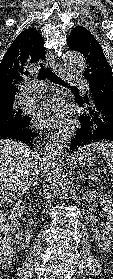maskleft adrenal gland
<instances>
[{
    "label": "left adrenal gland",
    "mask_w": 113,
    "mask_h": 279,
    "mask_svg": "<svg viewBox=\"0 0 113 279\" xmlns=\"http://www.w3.org/2000/svg\"><path fill=\"white\" fill-rule=\"evenodd\" d=\"M80 179H81V180H82V179H83V180H84V179L86 180L87 178H86L83 174H81L80 172H78L77 182H78V180H80Z\"/></svg>",
    "instance_id": "obj_1"
}]
</instances>
